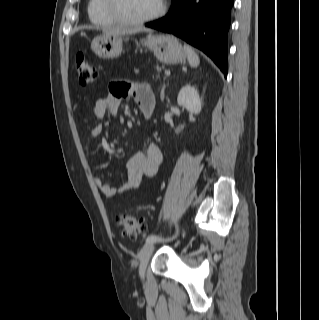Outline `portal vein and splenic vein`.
Instances as JSON below:
<instances>
[{"instance_id":"obj_1","label":"portal vein and splenic vein","mask_w":319,"mask_h":320,"mask_svg":"<svg viewBox=\"0 0 319 320\" xmlns=\"http://www.w3.org/2000/svg\"><path fill=\"white\" fill-rule=\"evenodd\" d=\"M165 75L170 76V70H165Z\"/></svg>"}]
</instances>
